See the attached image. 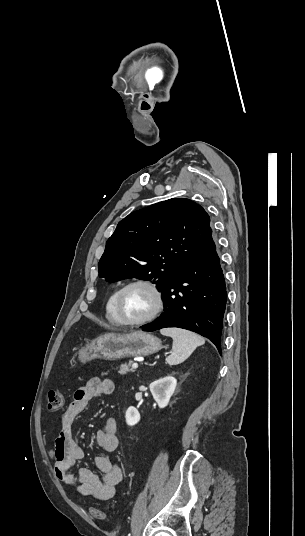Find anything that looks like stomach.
Instances as JSON below:
<instances>
[{
	"label": "stomach",
	"instance_id": "stomach-1",
	"mask_svg": "<svg viewBox=\"0 0 305 536\" xmlns=\"http://www.w3.org/2000/svg\"><path fill=\"white\" fill-rule=\"evenodd\" d=\"M159 338L148 332L132 334H104L92 340L85 348L79 350L78 360L86 364L89 360H120V358H142L161 350Z\"/></svg>",
	"mask_w": 305,
	"mask_h": 536
}]
</instances>
